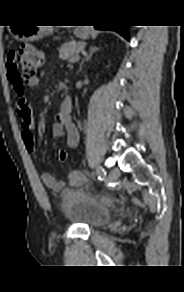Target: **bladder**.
<instances>
[{"instance_id":"31cf9c89","label":"bladder","mask_w":184,"mask_h":292,"mask_svg":"<svg viewBox=\"0 0 184 292\" xmlns=\"http://www.w3.org/2000/svg\"><path fill=\"white\" fill-rule=\"evenodd\" d=\"M113 203L97 199L84 190H65L61 209L70 221L95 229L105 225L112 217Z\"/></svg>"}]
</instances>
